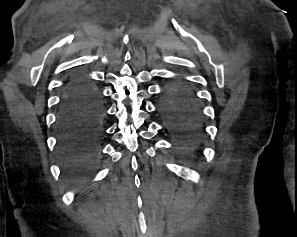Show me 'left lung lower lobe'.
Segmentation results:
<instances>
[{
  "instance_id": "left-lung-lower-lobe-1",
  "label": "left lung lower lobe",
  "mask_w": 297,
  "mask_h": 237,
  "mask_svg": "<svg viewBox=\"0 0 297 237\" xmlns=\"http://www.w3.org/2000/svg\"><path fill=\"white\" fill-rule=\"evenodd\" d=\"M166 126L186 153L195 150L203 139L205 130L203 115L197 101H178L161 106Z\"/></svg>"
}]
</instances>
